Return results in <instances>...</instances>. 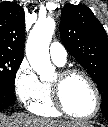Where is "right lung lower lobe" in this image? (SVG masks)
Instances as JSON below:
<instances>
[{
	"label": "right lung lower lobe",
	"mask_w": 108,
	"mask_h": 127,
	"mask_svg": "<svg viewBox=\"0 0 108 127\" xmlns=\"http://www.w3.org/2000/svg\"><path fill=\"white\" fill-rule=\"evenodd\" d=\"M15 100L14 93L0 89V110L10 106Z\"/></svg>",
	"instance_id": "98d812e1"
}]
</instances>
